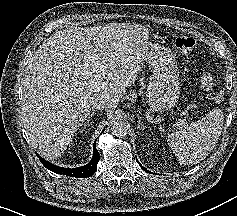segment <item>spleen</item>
Masks as SVG:
<instances>
[{
	"instance_id": "1",
	"label": "spleen",
	"mask_w": 237,
	"mask_h": 216,
	"mask_svg": "<svg viewBox=\"0 0 237 216\" xmlns=\"http://www.w3.org/2000/svg\"><path fill=\"white\" fill-rule=\"evenodd\" d=\"M218 127H210L206 119L192 123L186 129L168 135V145L180 158H203L218 140Z\"/></svg>"
}]
</instances>
